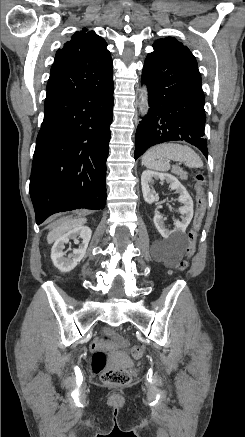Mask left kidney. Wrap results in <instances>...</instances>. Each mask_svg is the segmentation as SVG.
Listing matches in <instances>:
<instances>
[{
    "label": "left kidney",
    "mask_w": 245,
    "mask_h": 437,
    "mask_svg": "<svg viewBox=\"0 0 245 437\" xmlns=\"http://www.w3.org/2000/svg\"><path fill=\"white\" fill-rule=\"evenodd\" d=\"M160 179L161 181H166L170 184L171 190H176L179 194L178 200L184 204V206L180 207L178 211L181 213V221H175L176 229L169 230L165 227L162 216L155 212L154 215V224L161 234V236L165 239L177 240L183 236L186 231V228L190 224L193 217V200L186 188L179 182V180L168 173H159L151 170H145L141 175V186L144 200L152 204L158 200V196L151 191L150 182L152 179Z\"/></svg>",
    "instance_id": "left-kidney-1"
}]
</instances>
